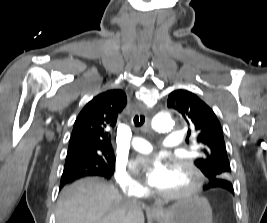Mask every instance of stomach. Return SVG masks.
<instances>
[{
  "label": "stomach",
  "mask_w": 267,
  "mask_h": 223,
  "mask_svg": "<svg viewBox=\"0 0 267 223\" xmlns=\"http://www.w3.org/2000/svg\"><path fill=\"white\" fill-rule=\"evenodd\" d=\"M159 223H212V209L204 197L190 196L152 213Z\"/></svg>",
  "instance_id": "1"
}]
</instances>
